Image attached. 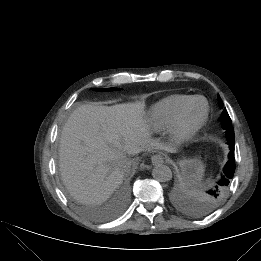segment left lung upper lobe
Returning a JSON list of instances; mask_svg holds the SVG:
<instances>
[{"instance_id":"1","label":"left lung upper lobe","mask_w":261,"mask_h":261,"mask_svg":"<svg viewBox=\"0 0 261 261\" xmlns=\"http://www.w3.org/2000/svg\"><path fill=\"white\" fill-rule=\"evenodd\" d=\"M218 102L220 107H223L222 100L218 96ZM222 127L226 131V139L228 144H234V129L232 127V121L226 109H224L221 116ZM230 179L223 171L220 179L216 181L210 189L206 192V211H210L215 208L224 198L226 191L229 187Z\"/></svg>"}]
</instances>
